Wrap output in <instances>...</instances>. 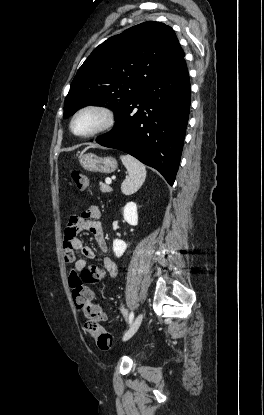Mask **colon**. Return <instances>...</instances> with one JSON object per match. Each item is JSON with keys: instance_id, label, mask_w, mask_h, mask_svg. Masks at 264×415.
<instances>
[{"instance_id": "colon-1", "label": "colon", "mask_w": 264, "mask_h": 415, "mask_svg": "<svg viewBox=\"0 0 264 415\" xmlns=\"http://www.w3.org/2000/svg\"><path fill=\"white\" fill-rule=\"evenodd\" d=\"M71 178L78 190L82 191L89 188V179L82 171L73 170ZM76 221L77 216L72 215L67 226V230L71 234L76 232V229L73 226ZM103 277L104 272L98 266H90L81 273L71 270L68 274V285L75 305L83 311L86 329L95 338L97 346L102 350H107L112 345V338L100 325L102 312L100 308L92 302V294L86 287L87 284L101 282Z\"/></svg>"}]
</instances>
